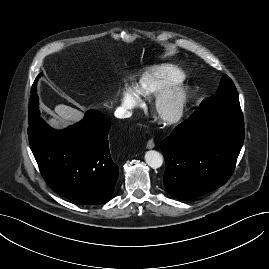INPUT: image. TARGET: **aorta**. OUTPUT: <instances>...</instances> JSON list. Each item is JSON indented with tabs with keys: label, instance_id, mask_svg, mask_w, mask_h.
Returning a JSON list of instances; mask_svg holds the SVG:
<instances>
[{
	"label": "aorta",
	"instance_id": "1",
	"mask_svg": "<svg viewBox=\"0 0 269 269\" xmlns=\"http://www.w3.org/2000/svg\"><path fill=\"white\" fill-rule=\"evenodd\" d=\"M145 161L149 167L157 169L162 166L163 157L159 152L155 150H149L145 153Z\"/></svg>",
	"mask_w": 269,
	"mask_h": 269
}]
</instances>
